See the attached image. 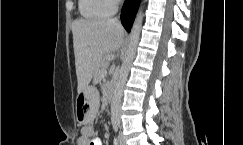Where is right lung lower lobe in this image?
<instances>
[{"label":"right lung lower lobe","mask_w":243,"mask_h":145,"mask_svg":"<svg viewBox=\"0 0 243 145\" xmlns=\"http://www.w3.org/2000/svg\"><path fill=\"white\" fill-rule=\"evenodd\" d=\"M140 0H125L121 11V22L124 28L130 32Z\"/></svg>","instance_id":"1"}]
</instances>
